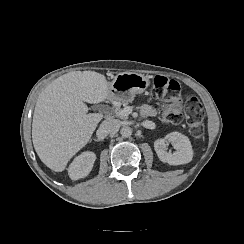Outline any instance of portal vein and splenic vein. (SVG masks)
<instances>
[{"instance_id": "18ae733b", "label": "portal vein and splenic vein", "mask_w": 244, "mask_h": 244, "mask_svg": "<svg viewBox=\"0 0 244 244\" xmlns=\"http://www.w3.org/2000/svg\"><path fill=\"white\" fill-rule=\"evenodd\" d=\"M132 113V108L127 106L125 108H121L118 110H115V115L120 117H127Z\"/></svg>"}]
</instances>
